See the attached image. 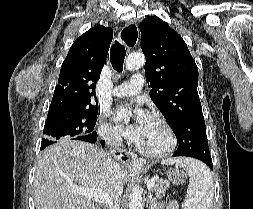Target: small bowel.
Listing matches in <instances>:
<instances>
[{
	"instance_id": "small-bowel-1",
	"label": "small bowel",
	"mask_w": 253,
	"mask_h": 209,
	"mask_svg": "<svg viewBox=\"0 0 253 209\" xmlns=\"http://www.w3.org/2000/svg\"><path fill=\"white\" fill-rule=\"evenodd\" d=\"M166 209H178L175 201H170L166 206Z\"/></svg>"
}]
</instances>
